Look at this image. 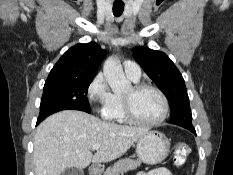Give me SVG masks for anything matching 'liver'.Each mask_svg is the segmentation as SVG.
Wrapping results in <instances>:
<instances>
[{"instance_id": "1", "label": "liver", "mask_w": 233, "mask_h": 175, "mask_svg": "<svg viewBox=\"0 0 233 175\" xmlns=\"http://www.w3.org/2000/svg\"><path fill=\"white\" fill-rule=\"evenodd\" d=\"M147 128L122 126L76 110L46 118L36 129L33 159L35 175H61L70 167L86 168L124 155ZM94 144L101 147L93 155Z\"/></svg>"}]
</instances>
